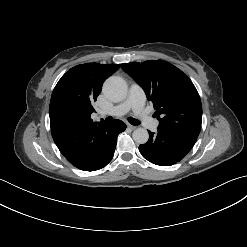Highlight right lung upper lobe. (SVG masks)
I'll list each match as a JSON object with an SVG mask.
<instances>
[{
  "instance_id": "obj_1",
  "label": "right lung upper lobe",
  "mask_w": 247,
  "mask_h": 247,
  "mask_svg": "<svg viewBox=\"0 0 247 247\" xmlns=\"http://www.w3.org/2000/svg\"><path fill=\"white\" fill-rule=\"evenodd\" d=\"M119 67L120 64L77 65L58 81L51 96L49 116L53 140L63 155L97 125L90 117L95 111L93 103L104 81Z\"/></svg>"
}]
</instances>
